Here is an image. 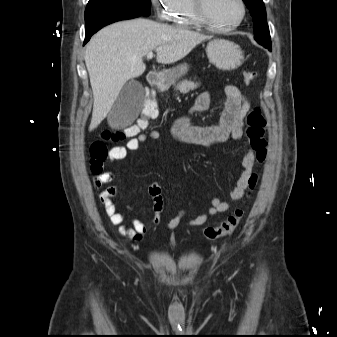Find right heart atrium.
Returning <instances> with one entry per match:
<instances>
[{
    "instance_id": "obj_1",
    "label": "right heart atrium",
    "mask_w": 337,
    "mask_h": 337,
    "mask_svg": "<svg viewBox=\"0 0 337 337\" xmlns=\"http://www.w3.org/2000/svg\"><path fill=\"white\" fill-rule=\"evenodd\" d=\"M151 3L156 9L159 19L168 20L176 0H151Z\"/></svg>"
}]
</instances>
